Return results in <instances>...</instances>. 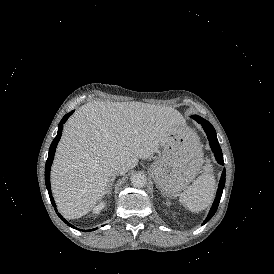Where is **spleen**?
I'll return each mask as SVG.
<instances>
[{
    "label": "spleen",
    "mask_w": 274,
    "mask_h": 274,
    "mask_svg": "<svg viewBox=\"0 0 274 274\" xmlns=\"http://www.w3.org/2000/svg\"><path fill=\"white\" fill-rule=\"evenodd\" d=\"M191 147L197 156V162L202 167L204 163L202 148L199 138L194 134ZM204 172L180 194V202L192 212L206 209L213 202L216 193V181L213 175V167L209 161L203 166Z\"/></svg>",
    "instance_id": "3e777b00"
}]
</instances>
